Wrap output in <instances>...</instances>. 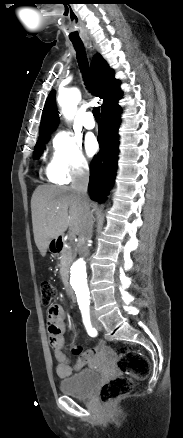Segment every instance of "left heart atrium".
Masks as SVG:
<instances>
[{"label":"left heart atrium","instance_id":"obj_1","mask_svg":"<svg viewBox=\"0 0 183 438\" xmlns=\"http://www.w3.org/2000/svg\"><path fill=\"white\" fill-rule=\"evenodd\" d=\"M85 149L88 155H94L98 150V142L93 135H89L85 139Z\"/></svg>","mask_w":183,"mask_h":438}]
</instances>
